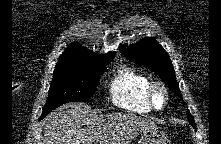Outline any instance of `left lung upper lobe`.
<instances>
[{
  "instance_id": "5c2ea615",
  "label": "left lung upper lobe",
  "mask_w": 221,
  "mask_h": 144,
  "mask_svg": "<svg viewBox=\"0 0 221 144\" xmlns=\"http://www.w3.org/2000/svg\"><path fill=\"white\" fill-rule=\"evenodd\" d=\"M121 52L131 62L146 66L154 71L179 98H182L179 85L175 78L173 64L167 52L154 38H144L134 45L122 48ZM187 114L189 122L195 128L193 117L189 111H187Z\"/></svg>"
}]
</instances>
